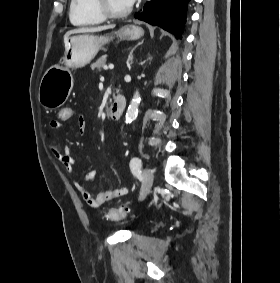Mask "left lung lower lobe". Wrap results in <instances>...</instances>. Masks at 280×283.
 Wrapping results in <instances>:
<instances>
[{
  "label": "left lung lower lobe",
  "mask_w": 280,
  "mask_h": 283,
  "mask_svg": "<svg viewBox=\"0 0 280 283\" xmlns=\"http://www.w3.org/2000/svg\"><path fill=\"white\" fill-rule=\"evenodd\" d=\"M190 0H151L135 18L159 26L181 38Z\"/></svg>",
  "instance_id": "1"
}]
</instances>
